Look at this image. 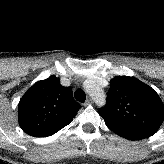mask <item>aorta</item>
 Returning a JSON list of instances; mask_svg holds the SVG:
<instances>
[{"instance_id":"762f6f07","label":"aorta","mask_w":164,"mask_h":164,"mask_svg":"<svg viewBox=\"0 0 164 164\" xmlns=\"http://www.w3.org/2000/svg\"><path fill=\"white\" fill-rule=\"evenodd\" d=\"M86 90L90 96L94 99L98 106L105 105L106 97L103 90L95 83H91L86 86Z\"/></svg>"}]
</instances>
